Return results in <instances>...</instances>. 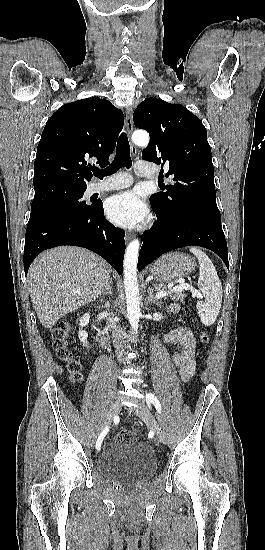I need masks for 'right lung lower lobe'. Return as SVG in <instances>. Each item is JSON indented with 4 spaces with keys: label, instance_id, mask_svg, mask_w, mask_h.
Here are the masks:
<instances>
[{
    "label": "right lung lower lobe",
    "instance_id": "98d812e1",
    "mask_svg": "<svg viewBox=\"0 0 265 550\" xmlns=\"http://www.w3.org/2000/svg\"><path fill=\"white\" fill-rule=\"evenodd\" d=\"M103 213L99 201L83 210H56L30 216L25 235V275L39 253L61 245L87 248L122 274L125 232L106 221Z\"/></svg>",
    "mask_w": 265,
    "mask_h": 550
}]
</instances>
